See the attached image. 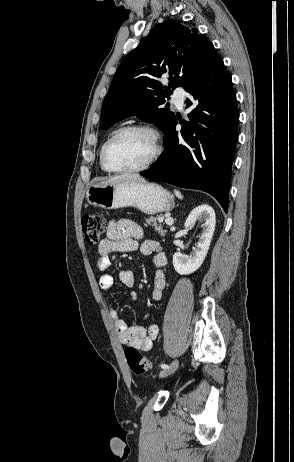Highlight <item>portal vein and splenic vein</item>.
<instances>
[{"label": "portal vein and splenic vein", "instance_id": "obj_1", "mask_svg": "<svg viewBox=\"0 0 294 462\" xmlns=\"http://www.w3.org/2000/svg\"><path fill=\"white\" fill-rule=\"evenodd\" d=\"M165 222L167 225L172 226L174 224V220L172 218H166Z\"/></svg>", "mask_w": 294, "mask_h": 462}]
</instances>
